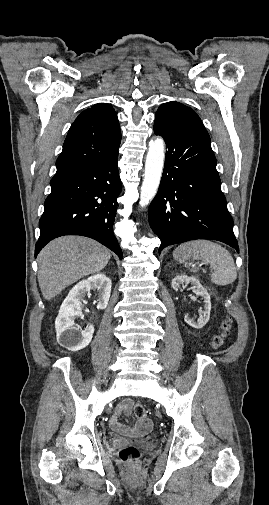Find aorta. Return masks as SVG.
<instances>
[{"mask_svg": "<svg viewBox=\"0 0 269 505\" xmlns=\"http://www.w3.org/2000/svg\"><path fill=\"white\" fill-rule=\"evenodd\" d=\"M163 166L164 141L162 138H156L149 143L139 201V206L141 208L147 206L156 195L162 176Z\"/></svg>", "mask_w": 269, "mask_h": 505, "instance_id": "1", "label": "aorta"}]
</instances>
